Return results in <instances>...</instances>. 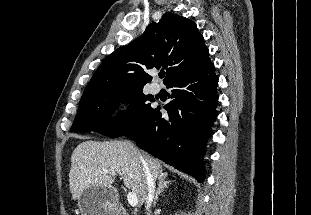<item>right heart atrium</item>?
Here are the masks:
<instances>
[{
  "mask_svg": "<svg viewBox=\"0 0 311 215\" xmlns=\"http://www.w3.org/2000/svg\"><path fill=\"white\" fill-rule=\"evenodd\" d=\"M129 112H130V108H129L128 105H123V106H121L120 109H119V114H120L121 116H126V115L129 114Z\"/></svg>",
  "mask_w": 311,
  "mask_h": 215,
  "instance_id": "d8ad5b80",
  "label": "right heart atrium"
}]
</instances>
